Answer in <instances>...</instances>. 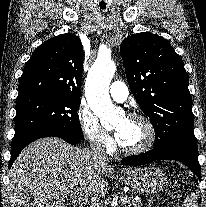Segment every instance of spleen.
<instances>
[{
	"label": "spleen",
	"instance_id": "spleen-1",
	"mask_svg": "<svg viewBox=\"0 0 206 207\" xmlns=\"http://www.w3.org/2000/svg\"><path fill=\"white\" fill-rule=\"evenodd\" d=\"M182 207H198V199L194 192L186 197Z\"/></svg>",
	"mask_w": 206,
	"mask_h": 207
}]
</instances>
